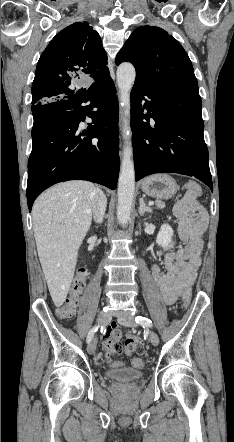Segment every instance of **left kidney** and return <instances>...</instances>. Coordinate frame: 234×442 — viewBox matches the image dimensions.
<instances>
[{
    "mask_svg": "<svg viewBox=\"0 0 234 442\" xmlns=\"http://www.w3.org/2000/svg\"><path fill=\"white\" fill-rule=\"evenodd\" d=\"M173 236V229L168 224H163L156 238V243L159 246L166 247Z\"/></svg>",
    "mask_w": 234,
    "mask_h": 442,
    "instance_id": "5707ae66",
    "label": "left kidney"
}]
</instances>
